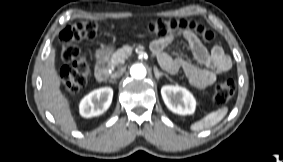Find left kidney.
I'll return each instance as SVG.
<instances>
[{
	"label": "left kidney",
	"instance_id": "obj_1",
	"mask_svg": "<svg viewBox=\"0 0 283 162\" xmlns=\"http://www.w3.org/2000/svg\"><path fill=\"white\" fill-rule=\"evenodd\" d=\"M161 95L167 108L179 115H190L195 111L196 101L193 95L184 87L164 85Z\"/></svg>",
	"mask_w": 283,
	"mask_h": 162
}]
</instances>
